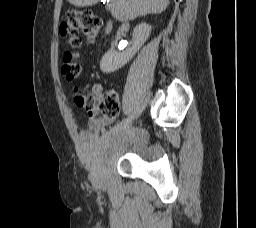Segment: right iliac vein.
Segmentation results:
<instances>
[{"instance_id":"obj_1","label":"right iliac vein","mask_w":256,"mask_h":228,"mask_svg":"<svg viewBox=\"0 0 256 228\" xmlns=\"http://www.w3.org/2000/svg\"><path fill=\"white\" fill-rule=\"evenodd\" d=\"M130 128H131L130 125H128L127 127H126V126H121V127H120V130H121V131H126V130H130Z\"/></svg>"}]
</instances>
